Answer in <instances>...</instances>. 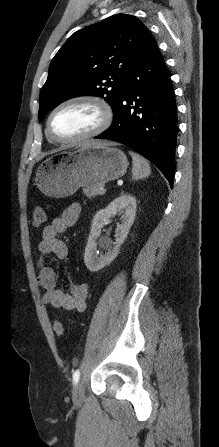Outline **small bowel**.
Returning <instances> with one entry per match:
<instances>
[{
    "label": "small bowel",
    "mask_w": 219,
    "mask_h": 447,
    "mask_svg": "<svg viewBox=\"0 0 219 447\" xmlns=\"http://www.w3.org/2000/svg\"><path fill=\"white\" fill-rule=\"evenodd\" d=\"M80 211V204L72 203L43 228L42 238L38 245L39 258L37 261V283L42 289L44 302L56 309L79 313L84 312L87 308L89 284L71 281L69 293L58 289L56 273L44 261L49 254H54L59 259H65L68 256V246L58 238V234L66 232L76 224Z\"/></svg>",
    "instance_id": "small-bowel-1"
}]
</instances>
